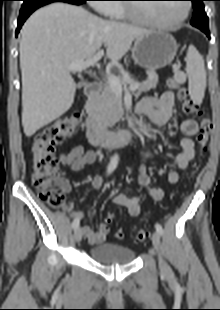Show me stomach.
Instances as JSON below:
<instances>
[{
	"mask_svg": "<svg viewBox=\"0 0 220 310\" xmlns=\"http://www.w3.org/2000/svg\"><path fill=\"white\" fill-rule=\"evenodd\" d=\"M178 45L172 35L164 31H150L135 39L132 58L148 70L170 65L176 56Z\"/></svg>",
	"mask_w": 220,
	"mask_h": 310,
	"instance_id": "stomach-1",
	"label": "stomach"
}]
</instances>
